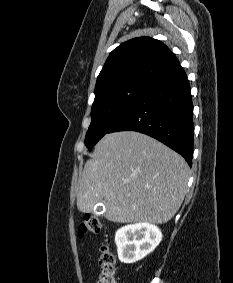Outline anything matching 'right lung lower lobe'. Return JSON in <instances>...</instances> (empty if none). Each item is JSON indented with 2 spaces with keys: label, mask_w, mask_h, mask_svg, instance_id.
Returning <instances> with one entry per match:
<instances>
[{
  "label": "right lung lower lobe",
  "mask_w": 233,
  "mask_h": 283,
  "mask_svg": "<svg viewBox=\"0 0 233 283\" xmlns=\"http://www.w3.org/2000/svg\"><path fill=\"white\" fill-rule=\"evenodd\" d=\"M137 131L182 155L189 166L193 157V104L190 85L178 65L150 81L108 133Z\"/></svg>",
  "instance_id": "1"
}]
</instances>
